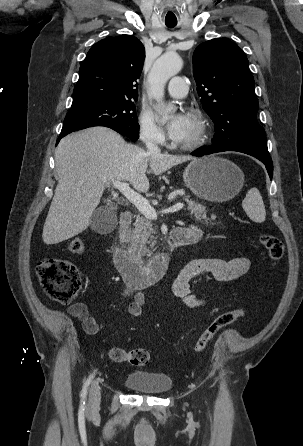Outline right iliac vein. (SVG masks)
I'll list each match as a JSON object with an SVG mask.
<instances>
[{
  "mask_svg": "<svg viewBox=\"0 0 303 446\" xmlns=\"http://www.w3.org/2000/svg\"><path fill=\"white\" fill-rule=\"evenodd\" d=\"M99 403H100V390H99V387L94 384L90 390L89 408L91 410H95V409H97Z\"/></svg>",
  "mask_w": 303,
  "mask_h": 446,
  "instance_id": "right-iliac-vein-1",
  "label": "right iliac vein"
}]
</instances>
